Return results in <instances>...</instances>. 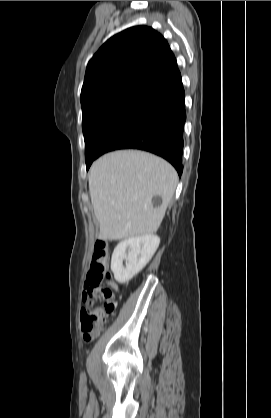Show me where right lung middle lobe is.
<instances>
[{"mask_svg": "<svg viewBox=\"0 0 271 418\" xmlns=\"http://www.w3.org/2000/svg\"><path fill=\"white\" fill-rule=\"evenodd\" d=\"M151 101L136 95H119L82 108L87 170L107 140Z\"/></svg>", "mask_w": 271, "mask_h": 418, "instance_id": "1", "label": "right lung middle lobe"}]
</instances>
